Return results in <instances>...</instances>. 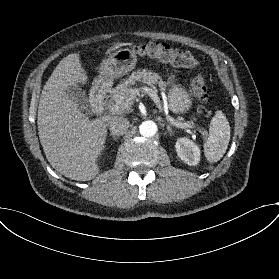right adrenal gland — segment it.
<instances>
[{"label": "right adrenal gland", "instance_id": "obj_1", "mask_svg": "<svg viewBox=\"0 0 279 279\" xmlns=\"http://www.w3.org/2000/svg\"><path fill=\"white\" fill-rule=\"evenodd\" d=\"M109 138L116 141V142H119V136H115V135L110 134Z\"/></svg>", "mask_w": 279, "mask_h": 279}]
</instances>
